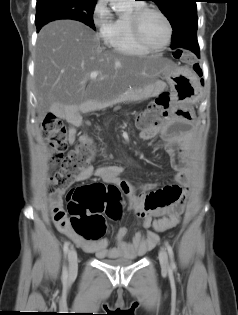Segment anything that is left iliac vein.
I'll use <instances>...</instances> for the list:
<instances>
[{
	"label": "left iliac vein",
	"instance_id": "left-iliac-vein-1",
	"mask_svg": "<svg viewBox=\"0 0 238 315\" xmlns=\"http://www.w3.org/2000/svg\"><path fill=\"white\" fill-rule=\"evenodd\" d=\"M159 261L163 271L167 272L169 270L168 254L164 248L159 252Z\"/></svg>",
	"mask_w": 238,
	"mask_h": 315
}]
</instances>
